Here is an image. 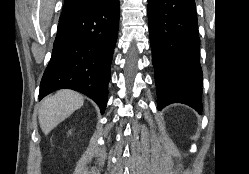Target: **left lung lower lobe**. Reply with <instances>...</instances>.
<instances>
[{
  "label": "left lung lower lobe",
  "instance_id": "0a47b994",
  "mask_svg": "<svg viewBox=\"0 0 249 174\" xmlns=\"http://www.w3.org/2000/svg\"><path fill=\"white\" fill-rule=\"evenodd\" d=\"M158 109L180 102L201 114L202 69L194 0H148Z\"/></svg>",
  "mask_w": 249,
  "mask_h": 174
}]
</instances>
